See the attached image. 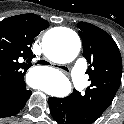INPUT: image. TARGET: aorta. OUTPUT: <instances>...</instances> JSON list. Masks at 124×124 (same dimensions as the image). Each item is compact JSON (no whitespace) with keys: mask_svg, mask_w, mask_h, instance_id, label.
<instances>
[{"mask_svg":"<svg viewBox=\"0 0 124 124\" xmlns=\"http://www.w3.org/2000/svg\"><path fill=\"white\" fill-rule=\"evenodd\" d=\"M43 45L47 57L58 63L73 61L80 51L79 36L68 28H60L53 35L45 36ZM32 87L58 97H64L72 90L68 78L59 71L55 72V80L51 85L47 84L45 77L36 76L32 80Z\"/></svg>","mask_w":124,"mask_h":124,"instance_id":"1","label":"aorta"}]
</instances>
